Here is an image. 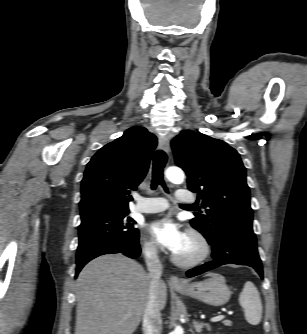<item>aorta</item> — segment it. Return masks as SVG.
I'll return each instance as SVG.
<instances>
[{"instance_id":"762f6f07","label":"aorta","mask_w":307,"mask_h":334,"mask_svg":"<svg viewBox=\"0 0 307 334\" xmlns=\"http://www.w3.org/2000/svg\"><path fill=\"white\" fill-rule=\"evenodd\" d=\"M166 178L175 184H181L184 181V173L177 167H170L165 172ZM171 334H184V330L180 325H177Z\"/></svg>"}]
</instances>
